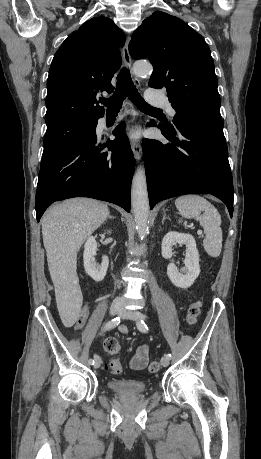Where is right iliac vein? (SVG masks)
<instances>
[{
    "label": "right iliac vein",
    "instance_id": "1",
    "mask_svg": "<svg viewBox=\"0 0 261 459\" xmlns=\"http://www.w3.org/2000/svg\"><path fill=\"white\" fill-rule=\"evenodd\" d=\"M123 307H122V304L119 303V302H114L112 303L111 307H110V313L111 315H117L119 314L121 311H122ZM102 363V360L101 358L98 356L96 359H95V362H94V368H99L100 365Z\"/></svg>",
    "mask_w": 261,
    "mask_h": 459
}]
</instances>
